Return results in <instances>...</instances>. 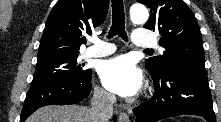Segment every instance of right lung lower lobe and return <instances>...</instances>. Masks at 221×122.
Masks as SVG:
<instances>
[{
    "mask_svg": "<svg viewBox=\"0 0 221 122\" xmlns=\"http://www.w3.org/2000/svg\"><path fill=\"white\" fill-rule=\"evenodd\" d=\"M91 79L92 71L80 80H61L31 85L24 101L20 122H24L35 110L46 105L79 103L89 95L92 88Z\"/></svg>",
    "mask_w": 221,
    "mask_h": 122,
    "instance_id": "1",
    "label": "right lung lower lobe"
}]
</instances>
